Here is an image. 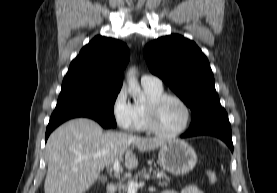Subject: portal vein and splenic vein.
I'll return each mask as SVG.
<instances>
[{"mask_svg": "<svg viewBox=\"0 0 277 193\" xmlns=\"http://www.w3.org/2000/svg\"><path fill=\"white\" fill-rule=\"evenodd\" d=\"M113 170L115 173L120 174V161L119 160H116L113 163ZM144 184H145L144 182H139V183L134 182V181L129 182L128 193H136L138 188L144 186Z\"/></svg>", "mask_w": 277, "mask_h": 193, "instance_id": "portal-vein-and-splenic-vein-1", "label": "portal vein and splenic vein"}]
</instances>
